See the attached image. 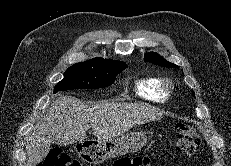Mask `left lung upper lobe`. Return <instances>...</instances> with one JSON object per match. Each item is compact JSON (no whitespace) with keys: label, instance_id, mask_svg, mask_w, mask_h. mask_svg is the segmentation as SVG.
Wrapping results in <instances>:
<instances>
[{"label":"left lung upper lobe","instance_id":"1","mask_svg":"<svg viewBox=\"0 0 231 166\" xmlns=\"http://www.w3.org/2000/svg\"><path fill=\"white\" fill-rule=\"evenodd\" d=\"M144 61L158 64L163 67H178L177 65L166 61L163 57L154 52H149L144 55ZM193 93V92H192ZM194 94V93H193Z\"/></svg>","mask_w":231,"mask_h":166}]
</instances>
